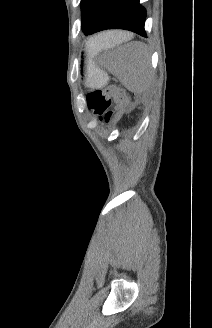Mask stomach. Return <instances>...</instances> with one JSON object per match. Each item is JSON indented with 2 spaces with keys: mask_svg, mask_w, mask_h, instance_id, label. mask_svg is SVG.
Returning <instances> with one entry per match:
<instances>
[{
  "mask_svg": "<svg viewBox=\"0 0 212 328\" xmlns=\"http://www.w3.org/2000/svg\"><path fill=\"white\" fill-rule=\"evenodd\" d=\"M88 57L89 63L86 69L87 85L92 88L104 86L108 79L107 74L102 69L94 65V63H92L91 59L93 58V56L88 54Z\"/></svg>",
  "mask_w": 212,
  "mask_h": 328,
  "instance_id": "stomach-1",
  "label": "stomach"
}]
</instances>
